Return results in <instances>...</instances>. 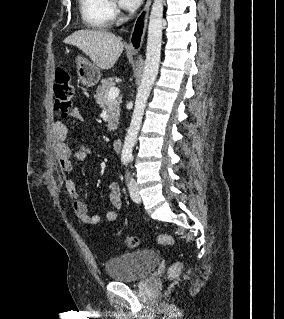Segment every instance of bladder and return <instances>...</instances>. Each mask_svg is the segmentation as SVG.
<instances>
[{
  "label": "bladder",
  "mask_w": 284,
  "mask_h": 319,
  "mask_svg": "<svg viewBox=\"0 0 284 319\" xmlns=\"http://www.w3.org/2000/svg\"><path fill=\"white\" fill-rule=\"evenodd\" d=\"M160 262L159 254L152 249H141L115 256L105 262L108 277L118 282H134L142 279Z\"/></svg>",
  "instance_id": "obj_1"
}]
</instances>
